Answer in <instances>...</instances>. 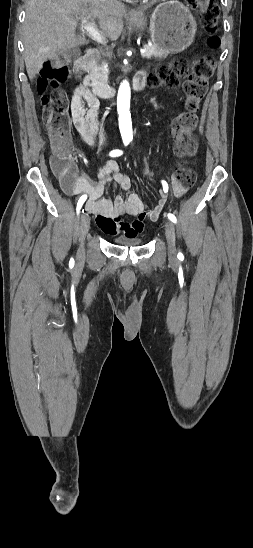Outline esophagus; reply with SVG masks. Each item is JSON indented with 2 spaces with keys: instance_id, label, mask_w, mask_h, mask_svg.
Here are the masks:
<instances>
[{
  "instance_id": "obj_1",
  "label": "esophagus",
  "mask_w": 253,
  "mask_h": 548,
  "mask_svg": "<svg viewBox=\"0 0 253 548\" xmlns=\"http://www.w3.org/2000/svg\"><path fill=\"white\" fill-rule=\"evenodd\" d=\"M131 15H132V16H136V15H137V12H136L135 10H132V11H131Z\"/></svg>"
}]
</instances>
